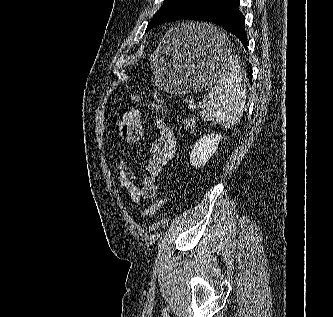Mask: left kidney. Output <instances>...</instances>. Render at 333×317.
<instances>
[{
  "label": "left kidney",
  "instance_id": "obj_1",
  "mask_svg": "<svg viewBox=\"0 0 333 317\" xmlns=\"http://www.w3.org/2000/svg\"><path fill=\"white\" fill-rule=\"evenodd\" d=\"M220 141V134H208L197 140L190 153V164L194 167L204 166L218 148Z\"/></svg>",
  "mask_w": 333,
  "mask_h": 317
}]
</instances>
